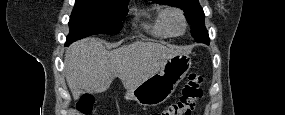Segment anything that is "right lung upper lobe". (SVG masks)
<instances>
[{"mask_svg":"<svg viewBox=\"0 0 285 115\" xmlns=\"http://www.w3.org/2000/svg\"><path fill=\"white\" fill-rule=\"evenodd\" d=\"M115 1H122V2H126V1H128V0H115Z\"/></svg>","mask_w":285,"mask_h":115,"instance_id":"right-lung-upper-lobe-1","label":"right lung upper lobe"}]
</instances>
